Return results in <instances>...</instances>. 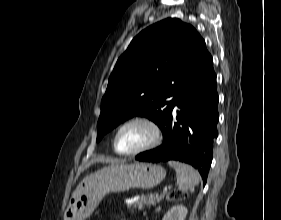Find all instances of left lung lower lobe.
Here are the masks:
<instances>
[{"label": "left lung lower lobe", "mask_w": 281, "mask_h": 220, "mask_svg": "<svg viewBox=\"0 0 281 220\" xmlns=\"http://www.w3.org/2000/svg\"><path fill=\"white\" fill-rule=\"evenodd\" d=\"M173 100V109L161 129L163 144L135 159L148 162L179 160L191 164L198 169L205 184L219 119L216 74L208 51L180 82Z\"/></svg>", "instance_id": "obj_1"}]
</instances>
